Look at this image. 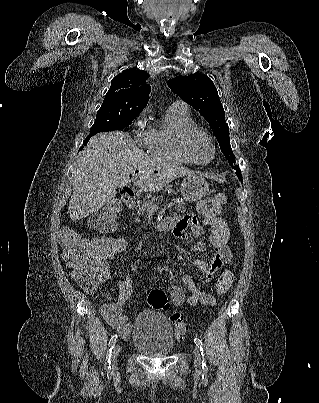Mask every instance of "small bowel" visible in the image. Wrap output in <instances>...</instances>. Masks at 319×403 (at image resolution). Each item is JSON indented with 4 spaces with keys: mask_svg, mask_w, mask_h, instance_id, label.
I'll return each instance as SVG.
<instances>
[{
    "mask_svg": "<svg viewBox=\"0 0 319 403\" xmlns=\"http://www.w3.org/2000/svg\"><path fill=\"white\" fill-rule=\"evenodd\" d=\"M204 202L199 204V211L202 212V206ZM174 220V235L181 240H186L188 238V231L190 230L192 236L196 239V242L192 245L191 251L196 253H201L205 250L207 243L204 242L203 237L205 235V229L198 222L194 215H185L181 218H173ZM208 223V220H206ZM88 241V239H84ZM214 255L210 262H206L201 258H196L194 261L195 266L203 273L205 281L209 283L215 274V272L220 269L223 265L230 263V251L228 247H211ZM125 250V249H124ZM111 258H100L96 261L93 266L98 275L100 282H105L106 280L113 279V274L111 272L109 260ZM67 266L70 268L76 267L77 265L73 262H67ZM157 271H166L168 266L154 265ZM138 271L136 264H131L128 269V274L117 280L118 283V298L115 302L104 303L100 306V312L107 323L115 329L124 339H128L131 331L132 325L128 321V317L123 312V306L130 297L132 291L131 277ZM182 280L186 287L188 288L190 295L186 297L184 291L177 285H171L169 287V293L172 302L175 306L180 307L185 302L192 306L196 305H206L214 306L216 304V298L211 293L200 290L191 275L185 274Z\"/></svg>",
    "mask_w": 319,
    "mask_h": 403,
    "instance_id": "c3829d8e",
    "label": "small bowel"
}]
</instances>
